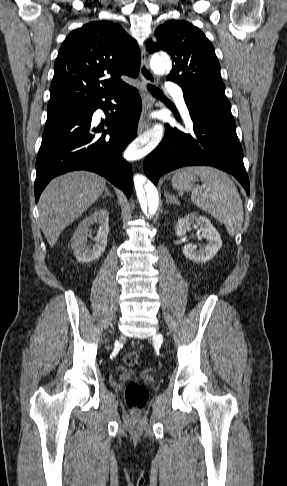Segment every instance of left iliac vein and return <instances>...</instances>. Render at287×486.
Returning a JSON list of instances; mask_svg holds the SVG:
<instances>
[{
	"label": "left iliac vein",
	"mask_w": 287,
	"mask_h": 486,
	"mask_svg": "<svg viewBox=\"0 0 287 486\" xmlns=\"http://www.w3.org/2000/svg\"><path fill=\"white\" fill-rule=\"evenodd\" d=\"M160 338H161L160 334L156 335V339H160Z\"/></svg>",
	"instance_id": "1"
}]
</instances>
